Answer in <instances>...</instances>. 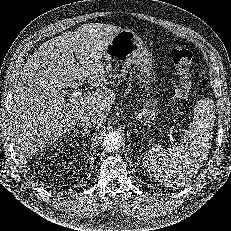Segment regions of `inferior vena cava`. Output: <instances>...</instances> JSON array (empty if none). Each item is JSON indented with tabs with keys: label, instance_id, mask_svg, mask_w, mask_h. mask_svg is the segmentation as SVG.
Listing matches in <instances>:
<instances>
[{
	"label": "inferior vena cava",
	"instance_id": "inferior-vena-cava-1",
	"mask_svg": "<svg viewBox=\"0 0 231 231\" xmlns=\"http://www.w3.org/2000/svg\"><path fill=\"white\" fill-rule=\"evenodd\" d=\"M79 122L83 128L88 129L96 126L97 120L91 114H85L80 118Z\"/></svg>",
	"mask_w": 231,
	"mask_h": 231
}]
</instances>
